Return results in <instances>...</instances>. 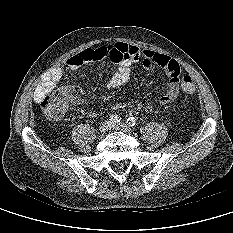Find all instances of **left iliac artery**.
Returning <instances> with one entry per match:
<instances>
[{
	"mask_svg": "<svg viewBox=\"0 0 233 233\" xmlns=\"http://www.w3.org/2000/svg\"><path fill=\"white\" fill-rule=\"evenodd\" d=\"M129 126L133 127L136 124V119L134 117H129L126 122Z\"/></svg>",
	"mask_w": 233,
	"mask_h": 233,
	"instance_id": "1",
	"label": "left iliac artery"
}]
</instances>
